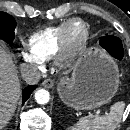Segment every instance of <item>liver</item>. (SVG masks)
<instances>
[{
  "label": "liver",
  "mask_w": 130,
  "mask_h": 130,
  "mask_svg": "<svg viewBox=\"0 0 130 130\" xmlns=\"http://www.w3.org/2000/svg\"><path fill=\"white\" fill-rule=\"evenodd\" d=\"M20 82L10 54L0 46V130L12 118L20 97Z\"/></svg>",
  "instance_id": "liver-1"
}]
</instances>
